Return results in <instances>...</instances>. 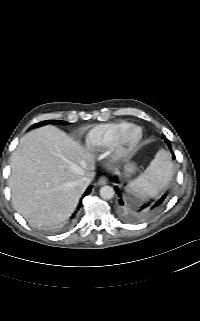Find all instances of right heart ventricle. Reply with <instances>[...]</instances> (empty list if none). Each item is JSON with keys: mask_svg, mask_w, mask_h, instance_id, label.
I'll use <instances>...</instances> for the list:
<instances>
[{"mask_svg": "<svg viewBox=\"0 0 200 321\" xmlns=\"http://www.w3.org/2000/svg\"><path fill=\"white\" fill-rule=\"evenodd\" d=\"M131 125L127 121L100 124L88 131L85 144L89 150L102 151L115 144L121 133Z\"/></svg>", "mask_w": 200, "mask_h": 321, "instance_id": "right-heart-ventricle-1", "label": "right heart ventricle"}]
</instances>
